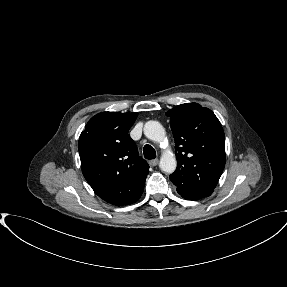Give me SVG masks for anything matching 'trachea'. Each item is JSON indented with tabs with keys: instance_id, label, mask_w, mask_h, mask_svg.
<instances>
[{
	"instance_id": "obj_1",
	"label": "trachea",
	"mask_w": 287,
	"mask_h": 287,
	"mask_svg": "<svg viewBox=\"0 0 287 287\" xmlns=\"http://www.w3.org/2000/svg\"><path fill=\"white\" fill-rule=\"evenodd\" d=\"M144 157L146 159H154L156 158L155 149L151 145H145L143 148Z\"/></svg>"
}]
</instances>
